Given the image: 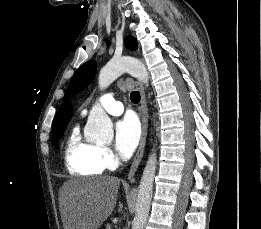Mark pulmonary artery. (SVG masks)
I'll return each mask as SVG.
<instances>
[{"label":"pulmonary artery","mask_w":261,"mask_h":229,"mask_svg":"<svg viewBox=\"0 0 261 229\" xmlns=\"http://www.w3.org/2000/svg\"><path fill=\"white\" fill-rule=\"evenodd\" d=\"M113 92L103 94L98 98L100 105L111 115L118 116L122 113L123 107L121 103L113 99Z\"/></svg>","instance_id":"pulmonary-artery-1"}]
</instances>
